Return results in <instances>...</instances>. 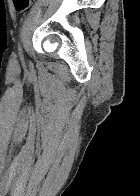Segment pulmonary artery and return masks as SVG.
Instances as JSON below:
<instances>
[{
  "mask_svg": "<svg viewBox=\"0 0 140 196\" xmlns=\"http://www.w3.org/2000/svg\"><path fill=\"white\" fill-rule=\"evenodd\" d=\"M44 192H54V191H44Z\"/></svg>",
  "mask_w": 140,
  "mask_h": 196,
  "instance_id": "pulmonary-artery-1",
  "label": "pulmonary artery"
}]
</instances>
